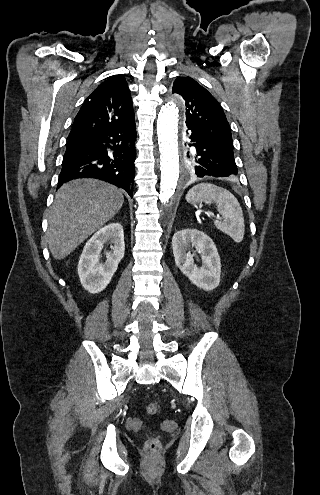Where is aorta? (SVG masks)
<instances>
[{
	"label": "aorta",
	"mask_w": 320,
	"mask_h": 495,
	"mask_svg": "<svg viewBox=\"0 0 320 495\" xmlns=\"http://www.w3.org/2000/svg\"><path fill=\"white\" fill-rule=\"evenodd\" d=\"M183 99L176 95L162 106L157 120V135L160 151V194L152 206V215L157 225H162L163 216L173 211L172 197L179 178L178 117ZM189 178V176H188Z\"/></svg>",
	"instance_id": "obj_1"
}]
</instances>
